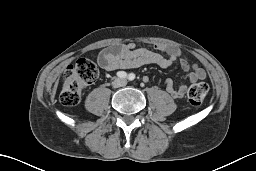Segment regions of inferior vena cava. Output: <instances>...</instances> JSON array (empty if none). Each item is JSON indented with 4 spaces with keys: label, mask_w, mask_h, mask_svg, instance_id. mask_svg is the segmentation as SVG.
<instances>
[{
    "label": "inferior vena cava",
    "mask_w": 256,
    "mask_h": 171,
    "mask_svg": "<svg viewBox=\"0 0 256 171\" xmlns=\"http://www.w3.org/2000/svg\"><path fill=\"white\" fill-rule=\"evenodd\" d=\"M126 84H127V81H126L125 79H120V78H118V79L115 80L113 86H114L115 88H118V87H123V86H125Z\"/></svg>",
    "instance_id": "obj_1"
}]
</instances>
